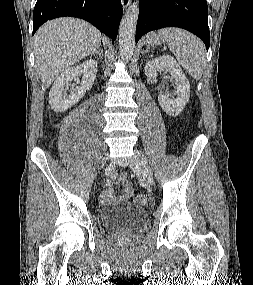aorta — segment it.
<instances>
[{
	"label": "aorta",
	"mask_w": 253,
	"mask_h": 285,
	"mask_svg": "<svg viewBox=\"0 0 253 285\" xmlns=\"http://www.w3.org/2000/svg\"><path fill=\"white\" fill-rule=\"evenodd\" d=\"M139 17V5L133 3L126 10L119 28V53L124 59H130L135 47V32Z\"/></svg>",
	"instance_id": "762f6f07"
}]
</instances>
